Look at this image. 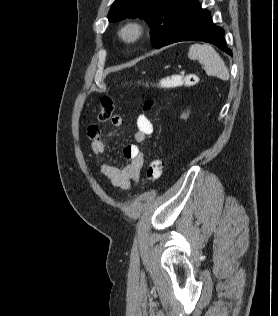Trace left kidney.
Listing matches in <instances>:
<instances>
[{"instance_id":"5707ae66","label":"left kidney","mask_w":278,"mask_h":316,"mask_svg":"<svg viewBox=\"0 0 278 316\" xmlns=\"http://www.w3.org/2000/svg\"><path fill=\"white\" fill-rule=\"evenodd\" d=\"M187 116H188V114H187ZM187 116H186V114H183V115H182V118H185V119H186Z\"/></svg>"}]
</instances>
